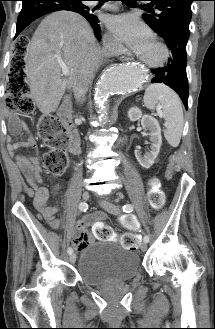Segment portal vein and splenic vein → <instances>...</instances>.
Wrapping results in <instances>:
<instances>
[{
	"mask_svg": "<svg viewBox=\"0 0 215 329\" xmlns=\"http://www.w3.org/2000/svg\"><path fill=\"white\" fill-rule=\"evenodd\" d=\"M62 67V74L63 75H69V69L65 65H61Z\"/></svg>",
	"mask_w": 215,
	"mask_h": 329,
	"instance_id": "18ae733b",
	"label": "portal vein and splenic vein"
}]
</instances>
